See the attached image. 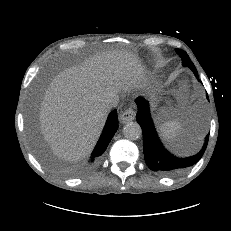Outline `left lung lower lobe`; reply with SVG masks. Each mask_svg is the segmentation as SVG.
Here are the masks:
<instances>
[{
	"label": "left lung lower lobe",
	"mask_w": 231,
	"mask_h": 231,
	"mask_svg": "<svg viewBox=\"0 0 231 231\" xmlns=\"http://www.w3.org/2000/svg\"><path fill=\"white\" fill-rule=\"evenodd\" d=\"M195 76L198 78V74ZM135 102L138 106L137 122L143 131L145 161L152 171L172 176L187 170L201 159L207 147L209 134L206 136L205 143L199 153L190 157H176L161 144L150 117L148 102L141 97L137 98Z\"/></svg>",
	"instance_id": "left-lung-lower-lobe-1"
}]
</instances>
